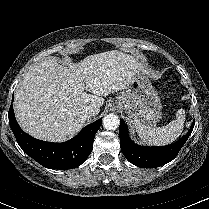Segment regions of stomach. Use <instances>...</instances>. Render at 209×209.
Wrapping results in <instances>:
<instances>
[{"label": "stomach", "mask_w": 209, "mask_h": 209, "mask_svg": "<svg viewBox=\"0 0 209 209\" xmlns=\"http://www.w3.org/2000/svg\"><path fill=\"white\" fill-rule=\"evenodd\" d=\"M115 104L119 109H123L129 118L146 126H155L161 119L162 105L158 93L141 70L116 97Z\"/></svg>", "instance_id": "0dacf381"}]
</instances>
